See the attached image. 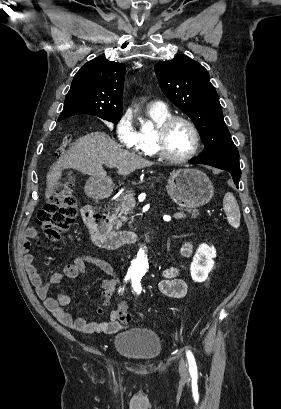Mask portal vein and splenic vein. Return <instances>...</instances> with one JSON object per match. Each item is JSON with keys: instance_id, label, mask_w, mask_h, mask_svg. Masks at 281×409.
Returning a JSON list of instances; mask_svg holds the SVG:
<instances>
[{"instance_id": "portal-vein-and-splenic-vein-1", "label": "portal vein and splenic vein", "mask_w": 281, "mask_h": 409, "mask_svg": "<svg viewBox=\"0 0 281 409\" xmlns=\"http://www.w3.org/2000/svg\"><path fill=\"white\" fill-rule=\"evenodd\" d=\"M107 166H109V164H107ZM135 201H136V198H135L134 196H132V195H131V196H128V197L126 198L125 205H126L127 207H133ZM186 216H189V213H186V212H176L175 215H174L175 219H182V217H186Z\"/></svg>"}]
</instances>
